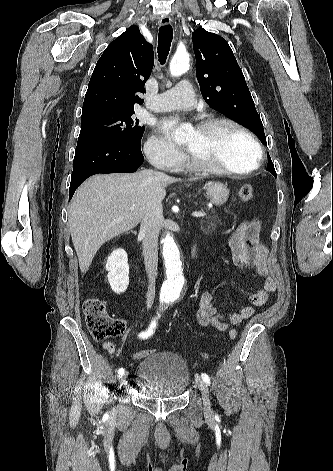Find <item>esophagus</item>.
<instances>
[{"instance_id":"1","label":"esophagus","mask_w":333,"mask_h":471,"mask_svg":"<svg viewBox=\"0 0 333 471\" xmlns=\"http://www.w3.org/2000/svg\"><path fill=\"white\" fill-rule=\"evenodd\" d=\"M172 20L169 16H162L160 19H159V24L161 26H165V25H169L171 24Z\"/></svg>"}]
</instances>
